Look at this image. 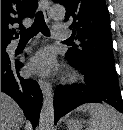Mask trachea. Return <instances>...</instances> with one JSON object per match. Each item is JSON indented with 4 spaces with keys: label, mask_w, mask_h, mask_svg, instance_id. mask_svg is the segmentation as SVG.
<instances>
[{
    "label": "trachea",
    "mask_w": 123,
    "mask_h": 130,
    "mask_svg": "<svg viewBox=\"0 0 123 130\" xmlns=\"http://www.w3.org/2000/svg\"><path fill=\"white\" fill-rule=\"evenodd\" d=\"M39 32L45 36H50V31L45 23L44 16L41 11L36 14L34 23L30 28L20 31V40L28 41Z\"/></svg>",
    "instance_id": "trachea-1"
}]
</instances>
